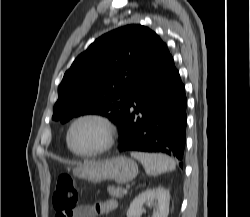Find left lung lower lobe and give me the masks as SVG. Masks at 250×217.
<instances>
[{"mask_svg":"<svg viewBox=\"0 0 250 217\" xmlns=\"http://www.w3.org/2000/svg\"><path fill=\"white\" fill-rule=\"evenodd\" d=\"M119 128V150L162 152L181 161L186 138L185 88L173 58L162 43L148 72L132 91ZM183 167V163H180Z\"/></svg>","mask_w":250,"mask_h":217,"instance_id":"obj_1","label":"left lung lower lobe"}]
</instances>
